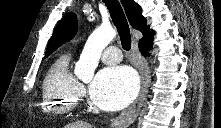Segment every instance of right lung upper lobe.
Instances as JSON below:
<instances>
[{
	"label": "right lung upper lobe",
	"mask_w": 221,
	"mask_h": 128,
	"mask_svg": "<svg viewBox=\"0 0 221 128\" xmlns=\"http://www.w3.org/2000/svg\"><path fill=\"white\" fill-rule=\"evenodd\" d=\"M126 11L131 26L143 33V39L140 41H149L153 39L154 32L146 26V19L142 16L141 7L134 0H121ZM77 31V20L73 13L66 14L56 26L53 35L49 41L46 55H50L59 46L69 41Z\"/></svg>",
	"instance_id": "obj_1"
}]
</instances>
